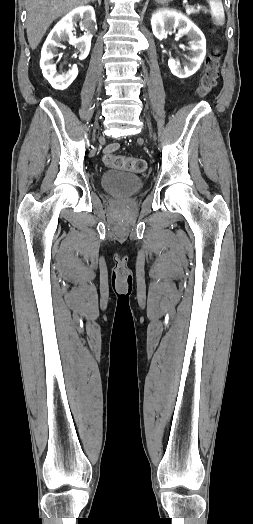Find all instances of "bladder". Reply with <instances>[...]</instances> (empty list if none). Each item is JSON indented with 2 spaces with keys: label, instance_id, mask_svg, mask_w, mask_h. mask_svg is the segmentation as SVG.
I'll list each match as a JSON object with an SVG mask.
<instances>
[{
  "label": "bladder",
  "instance_id": "obj_1",
  "mask_svg": "<svg viewBox=\"0 0 253 524\" xmlns=\"http://www.w3.org/2000/svg\"><path fill=\"white\" fill-rule=\"evenodd\" d=\"M102 190L115 197H131L144 188V180L132 173L106 170L100 175Z\"/></svg>",
  "mask_w": 253,
  "mask_h": 524
}]
</instances>
